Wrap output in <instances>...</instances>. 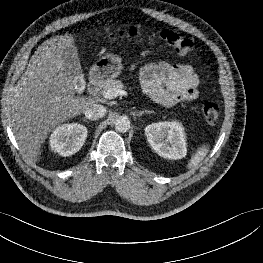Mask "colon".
I'll use <instances>...</instances> for the list:
<instances>
[{
  "label": "colon",
  "instance_id": "obj_1",
  "mask_svg": "<svg viewBox=\"0 0 263 263\" xmlns=\"http://www.w3.org/2000/svg\"><path fill=\"white\" fill-rule=\"evenodd\" d=\"M142 33L143 32L139 27L131 26L129 28L113 32L109 37L112 40H117L125 37H139ZM157 35L161 40L175 49L180 55L186 56L193 50L192 40L177 32L164 29L159 31ZM202 114L208 124L214 125L219 119L220 106L216 102L208 101L202 107Z\"/></svg>",
  "mask_w": 263,
  "mask_h": 263
}]
</instances>
